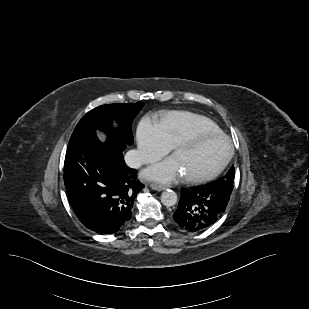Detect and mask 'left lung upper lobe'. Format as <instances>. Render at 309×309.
I'll list each match as a JSON object with an SVG mask.
<instances>
[{
  "mask_svg": "<svg viewBox=\"0 0 309 309\" xmlns=\"http://www.w3.org/2000/svg\"><path fill=\"white\" fill-rule=\"evenodd\" d=\"M234 177H235V169L232 166L224 177H221L220 179L214 181L213 184L219 187L233 189Z\"/></svg>",
  "mask_w": 309,
  "mask_h": 309,
  "instance_id": "1",
  "label": "left lung upper lobe"
}]
</instances>
